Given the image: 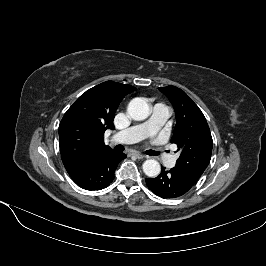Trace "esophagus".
Returning <instances> with one entry per match:
<instances>
[{"label":"esophagus","instance_id":"esophagus-1","mask_svg":"<svg viewBox=\"0 0 266 266\" xmlns=\"http://www.w3.org/2000/svg\"><path fill=\"white\" fill-rule=\"evenodd\" d=\"M133 156H135L137 159H143V158H145L144 155H142L140 153H137V152L133 153Z\"/></svg>","mask_w":266,"mask_h":266}]
</instances>
